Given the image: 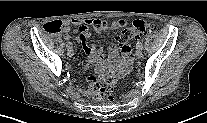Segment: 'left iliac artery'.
I'll list each match as a JSON object with an SVG mask.
<instances>
[{
    "mask_svg": "<svg viewBox=\"0 0 207 123\" xmlns=\"http://www.w3.org/2000/svg\"><path fill=\"white\" fill-rule=\"evenodd\" d=\"M136 45L137 47L143 48V44L140 40L137 41Z\"/></svg>",
    "mask_w": 207,
    "mask_h": 123,
    "instance_id": "obj_1",
    "label": "left iliac artery"
}]
</instances>
